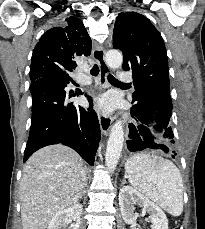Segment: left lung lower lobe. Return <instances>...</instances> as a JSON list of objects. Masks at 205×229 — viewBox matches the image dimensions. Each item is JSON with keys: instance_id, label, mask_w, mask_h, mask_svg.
I'll return each instance as SVG.
<instances>
[{"instance_id": "obj_1", "label": "left lung lower lobe", "mask_w": 205, "mask_h": 229, "mask_svg": "<svg viewBox=\"0 0 205 229\" xmlns=\"http://www.w3.org/2000/svg\"><path fill=\"white\" fill-rule=\"evenodd\" d=\"M131 116L135 123L129 124V151L153 148L161 149L165 153H175L172 150L174 135L166 114L148 108H131Z\"/></svg>"}]
</instances>
